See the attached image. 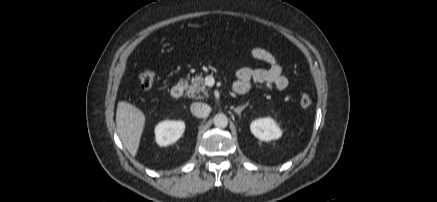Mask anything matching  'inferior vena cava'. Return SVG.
<instances>
[{"mask_svg": "<svg viewBox=\"0 0 437 202\" xmlns=\"http://www.w3.org/2000/svg\"><path fill=\"white\" fill-rule=\"evenodd\" d=\"M191 113L198 118H205L209 115L211 108L202 102L192 103L190 106Z\"/></svg>", "mask_w": 437, "mask_h": 202, "instance_id": "obj_1", "label": "inferior vena cava"}]
</instances>
